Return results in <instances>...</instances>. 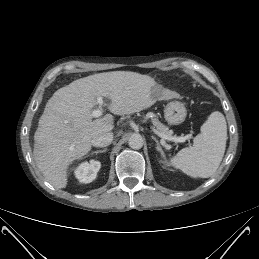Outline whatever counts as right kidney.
I'll return each instance as SVG.
<instances>
[{
  "instance_id": "obj_1",
  "label": "right kidney",
  "mask_w": 259,
  "mask_h": 259,
  "mask_svg": "<svg viewBox=\"0 0 259 259\" xmlns=\"http://www.w3.org/2000/svg\"><path fill=\"white\" fill-rule=\"evenodd\" d=\"M101 167V163L97 160L81 163L74 171L75 177L81 183L92 182Z\"/></svg>"
}]
</instances>
